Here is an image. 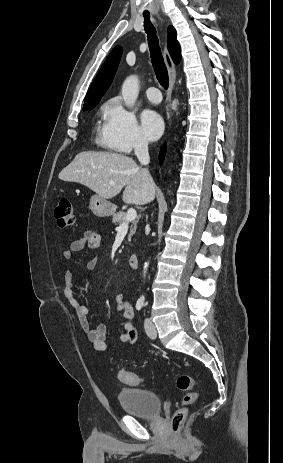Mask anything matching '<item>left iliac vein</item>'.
<instances>
[{"label":"left iliac vein","instance_id":"1","mask_svg":"<svg viewBox=\"0 0 283 463\" xmlns=\"http://www.w3.org/2000/svg\"><path fill=\"white\" fill-rule=\"evenodd\" d=\"M144 327H145V331H146L147 335L151 339H155L156 336H157V331H156L155 325H154V323L152 322L151 319H149V318L145 319Z\"/></svg>","mask_w":283,"mask_h":463}]
</instances>
